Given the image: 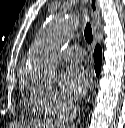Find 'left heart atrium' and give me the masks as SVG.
Segmentation results:
<instances>
[{
  "label": "left heart atrium",
  "instance_id": "39dd6f15",
  "mask_svg": "<svg viewBox=\"0 0 125 128\" xmlns=\"http://www.w3.org/2000/svg\"><path fill=\"white\" fill-rule=\"evenodd\" d=\"M92 82L91 74L80 65H71L65 69L60 78L63 92L71 98H80Z\"/></svg>",
  "mask_w": 125,
  "mask_h": 128
}]
</instances>
